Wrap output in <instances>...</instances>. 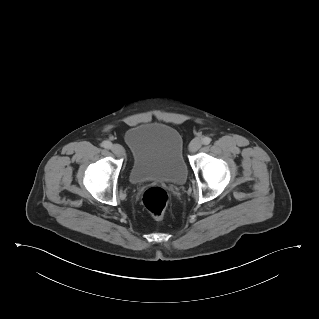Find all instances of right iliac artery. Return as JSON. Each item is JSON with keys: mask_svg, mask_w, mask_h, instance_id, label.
Listing matches in <instances>:
<instances>
[{"mask_svg": "<svg viewBox=\"0 0 319 319\" xmlns=\"http://www.w3.org/2000/svg\"><path fill=\"white\" fill-rule=\"evenodd\" d=\"M102 146H103L104 148H106V149H110V148L112 147V143L109 142V141H104V142L102 143Z\"/></svg>", "mask_w": 319, "mask_h": 319, "instance_id": "right-iliac-artery-1", "label": "right iliac artery"}]
</instances>
